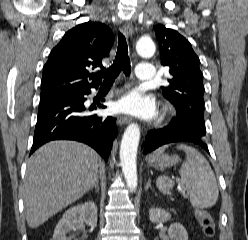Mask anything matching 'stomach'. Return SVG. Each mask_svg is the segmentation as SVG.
Here are the masks:
<instances>
[{
  "instance_id": "0dacf381",
  "label": "stomach",
  "mask_w": 248,
  "mask_h": 240,
  "mask_svg": "<svg viewBox=\"0 0 248 240\" xmlns=\"http://www.w3.org/2000/svg\"><path fill=\"white\" fill-rule=\"evenodd\" d=\"M150 161L154 163L155 167L164 169L178 163L179 158L177 156H169L161 152H156L151 155Z\"/></svg>"
}]
</instances>
